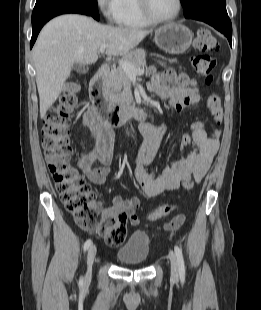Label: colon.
<instances>
[{
  "label": "colon",
  "instance_id": "obj_1",
  "mask_svg": "<svg viewBox=\"0 0 261 310\" xmlns=\"http://www.w3.org/2000/svg\"><path fill=\"white\" fill-rule=\"evenodd\" d=\"M197 54L191 59L194 73L205 77V82L210 85L213 81V72L216 67V59L211 56L220 48L218 39L208 30L200 29L194 42ZM189 79L182 74L168 72L165 83L169 86L188 83ZM76 86L69 83L56 107L44 122L42 129V145L49 172L54 180L60 200L69 211L77 224L87 231L97 233L112 247L121 245L127 236L128 216L124 213H115L106 217H99L96 205V194L90 185L71 165L72 148L69 141V127L71 116L77 103ZM207 106L214 121L221 124L223 110L219 95L212 94L207 100ZM178 110V109H176ZM220 136V130L213 132V137ZM189 146L185 140L182 147ZM194 181L191 178L183 182V187L191 189ZM172 206L164 204L157 207L151 214V218L157 219L167 215ZM183 215H178L167 225V230H178L184 223Z\"/></svg>",
  "mask_w": 261,
  "mask_h": 310
}]
</instances>
